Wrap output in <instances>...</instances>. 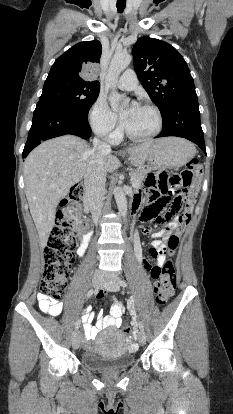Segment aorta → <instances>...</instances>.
<instances>
[{"label": "aorta", "mask_w": 233, "mask_h": 414, "mask_svg": "<svg viewBox=\"0 0 233 414\" xmlns=\"http://www.w3.org/2000/svg\"><path fill=\"white\" fill-rule=\"evenodd\" d=\"M131 60L132 56L127 53L115 54L112 58L106 76V86L113 92H115L117 89V81L119 75L124 69L128 67ZM128 102L129 99H126L124 101V104H127ZM113 192L119 213L123 218H125L127 215V201L125 194L121 187H115Z\"/></svg>", "instance_id": "762f6f07"}]
</instances>
